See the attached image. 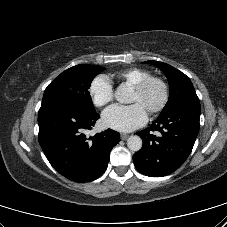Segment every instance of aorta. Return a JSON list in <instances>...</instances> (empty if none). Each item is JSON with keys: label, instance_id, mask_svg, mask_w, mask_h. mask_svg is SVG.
Segmentation results:
<instances>
[{"label": "aorta", "instance_id": "aorta-1", "mask_svg": "<svg viewBox=\"0 0 227 227\" xmlns=\"http://www.w3.org/2000/svg\"><path fill=\"white\" fill-rule=\"evenodd\" d=\"M115 99L120 103H127L129 101L128 89L121 85L115 91ZM127 147L131 151H139L142 148V139L137 135H132L127 140Z\"/></svg>", "mask_w": 227, "mask_h": 227}]
</instances>
